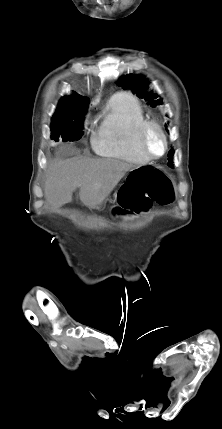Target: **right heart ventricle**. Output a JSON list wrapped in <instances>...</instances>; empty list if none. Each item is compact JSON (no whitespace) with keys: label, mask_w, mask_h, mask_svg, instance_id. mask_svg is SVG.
<instances>
[{"label":"right heart ventricle","mask_w":222,"mask_h":429,"mask_svg":"<svg viewBox=\"0 0 222 429\" xmlns=\"http://www.w3.org/2000/svg\"><path fill=\"white\" fill-rule=\"evenodd\" d=\"M146 117L140 102L131 94L120 92L108 102L106 116L99 130L92 136L95 151L135 164L150 159L139 146V132Z\"/></svg>","instance_id":"right-heart-ventricle-1"}]
</instances>
